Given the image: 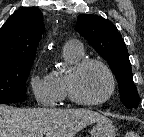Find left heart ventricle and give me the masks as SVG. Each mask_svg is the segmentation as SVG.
Listing matches in <instances>:
<instances>
[{
	"mask_svg": "<svg viewBox=\"0 0 144 137\" xmlns=\"http://www.w3.org/2000/svg\"><path fill=\"white\" fill-rule=\"evenodd\" d=\"M77 94L84 100L96 101L105 97L110 89L106 72L98 65L90 64L75 78Z\"/></svg>",
	"mask_w": 144,
	"mask_h": 137,
	"instance_id": "obj_1",
	"label": "left heart ventricle"
}]
</instances>
